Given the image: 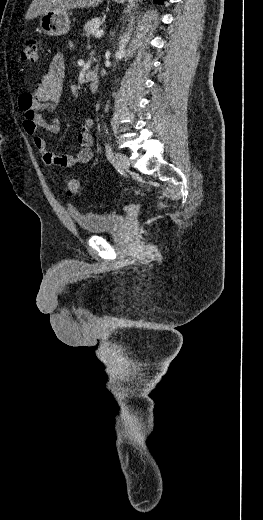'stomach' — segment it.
Wrapping results in <instances>:
<instances>
[{"mask_svg": "<svg viewBox=\"0 0 263 520\" xmlns=\"http://www.w3.org/2000/svg\"><path fill=\"white\" fill-rule=\"evenodd\" d=\"M123 4L125 0H114ZM40 29L48 36H60L70 30L69 14L66 10H52L40 17Z\"/></svg>", "mask_w": 263, "mask_h": 520, "instance_id": "1", "label": "stomach"}]
</instances>
